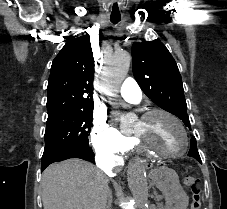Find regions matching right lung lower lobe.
<instances>
[{
    "label": "right lung lower lobe",
    "mask_w": 227,
    "mask_h": 209,
    "mask_svg": "<svg viewBox=\"0 0 227 209\" xmlns=\"http://www.w3.org/2000/svg\"><path fill=\"white\" fill-rule=\"evenodd\" d=\"M69 158H80L86 161H91L94 158V153L89 146L81 148H67L55 151L53 153L48 154L45 157V161L41 166V171H43L51 163L62 161Z\"/></svg>",
    "instance_id": "right-lung-lower-lobe-1"
}]
</instances>
